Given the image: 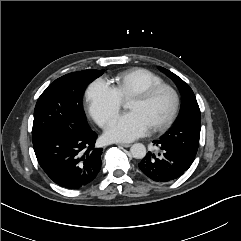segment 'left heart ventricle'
<instances>
[{
  "label": "left heart ventricle",
  "mask_w": 241,
  "mask_h": 241,
  "mask_svg": "<svg viewBox=\"0 0 241 241\" xmlns=\"http://www.w3.org/2000/svg\"><path fill=\"white\" fill-rule=\"evenodd\" d=\"M173 99L167 90L157 93L149 101L131 99L128 104L130 111L141 113L151 126L162 123L169 116L172 109Z\"/></svg>",
  "instance_id": "1"
}]
</instances>
